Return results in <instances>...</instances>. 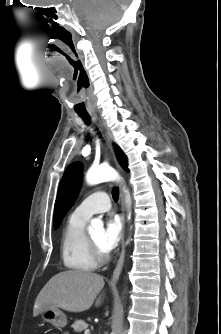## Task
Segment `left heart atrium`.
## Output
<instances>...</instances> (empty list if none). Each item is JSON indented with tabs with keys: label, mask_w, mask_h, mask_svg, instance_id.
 I'll return each instance as SVG.
<instances>
[{
	"label": "left heart atrium",
	"mask_w": 221,
	"mask_h": 334,
	"mask_svg": "<svg viewBox=\"0 0 221 334\" xmlns=\"http://www.w3.org/2000/svg\"><path fill=\"white\" fill-rule=\"evenodd\" d=\"M122 238V223L116 216L107 219L102 237V249L106 252L113 250Z\"/></svg>",
	"instance_id": "39dd6f15"
}]
</instances>
